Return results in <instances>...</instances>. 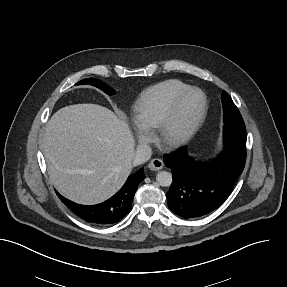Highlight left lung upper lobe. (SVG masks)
Instances as JSON below:
<instances>
[{
    "label": "left lung upper lobe",
    "mask_w": 287,
    "mask_h": 287,
    "mask_svg": "<svg viewBox=\"0 0 287 287\" xmlns=\"http://www.w3.org/2000/svg\"><path fill=\"white\" fill-rule=\"evenodd\" d=\"M222 104L224 131L245 130V124L239 110L225 91L222 93Z\"/></svg>",
    "instance_id": "1"
}]
</instances>
